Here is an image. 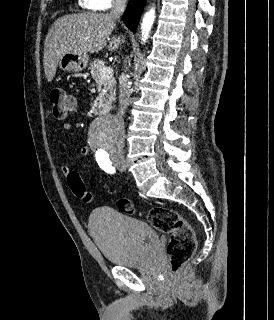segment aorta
<instances>
[{
  "instance_id": "obj_1",
  "label": "aorta",
  "mask_w": 274,
  "mask_h": 320,
  "mask_svg": "<svg viewBox=\"0 0 274 320\" xmlns=\"http://www.w3.org/2000/svg\"><path fill=\"white\" fill-rule=\"evenodd\" d=\"M154 19L155 10L152 8L146 12L141 23L143 42L149 37ZM124 132V123L120 117L106 116L99 119L91 131V142L96 148V154L107 156L119 150L124 142Z\"/></svg>"
}]
</instances>
